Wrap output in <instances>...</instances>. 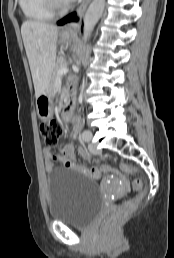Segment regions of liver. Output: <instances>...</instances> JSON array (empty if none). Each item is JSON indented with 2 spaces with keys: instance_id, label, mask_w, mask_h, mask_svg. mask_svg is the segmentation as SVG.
<instances>
[{
  "instance_id": "1",
  "label": "liver",
  "mask_w": 174,
  "mask_h": 258,
  "mask_svg": "<svg viewBox=\"0 0 174 258\" xmlns=\"http://www.w3.org/2000/svg\"><path fill=\"white\" fill-rule=\"evenodd\" d=\"M59 28L55 25L27 20L21 34L29 61L35 96L38 98L48 87L56 61Z\"/></svg>"
}]
</instances>
